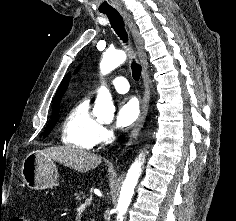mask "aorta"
Segmentation results:
<instances>
[{
  "instance_id": "aorta-1",
  "label": "aorta",
  "mask_w": 236,
  "mask_h": 221,
  "mask_svg": "<svg viewBox=\"0 0 236 221\" xmlns=\"http://www.w3.org/2000/svg\"><path fill=\"white\" fill-rule=\"evenodd\" d=\"M126 60V53L122 50L107 51L104 53L100 63L101 73L103 75L110 73L118 66L123 64ZM115 112V106L112 101L111 94L105 86L99 89L93 114L101 119H112ZM144 162V155L140 154L139 157L129 168L126 178L123 182L120 196L117 204V221H123L124 215L130 205L131 199L134 194V189L138 183L141 174V167Z\"/></svg>"
}]
</instances>
